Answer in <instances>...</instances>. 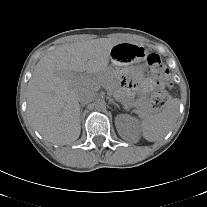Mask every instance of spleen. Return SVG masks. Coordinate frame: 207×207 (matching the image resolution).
Listing matches in <instances>:
<instances>
[{
	"label": "spleen",
	"instance_id": "3e777b00",
	"mask_svg": "<svg viewBox=\"0 0 207 207\" xmlns=\"http://www.w3.org/2000/svg\"><path fill=\"white\" fill-rule=\"evenodd\" d=\"M178 113L179 100H169L166 107L160 113L142 120V136L150 142L164 138L177 122Z\"/></svg>",
	"mask_w": 207,
	"mask_h": 207
}]
</instances>
